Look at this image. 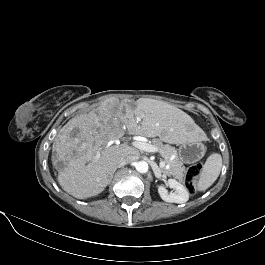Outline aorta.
<instances>
[{
  "label": "aorta",
  "mask_w": 265,
  "mask_h": 265,
  "mask_svg": "<svg viewBox=\"0 0 265 265\" xmlns=\"http://www.w3.org/2000/svg\"><path fill=\"white\" fill-rule=\"evenodd\" d=\"M136 170L140 173H146L148 172V163L146 161H139L136 163V166H135Z\"/></svg>",
  "instance_id": "obj_1"
}]
</instances>
